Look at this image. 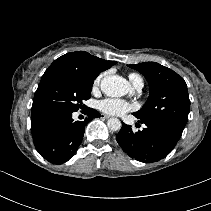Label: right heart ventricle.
I'll use <instances>...</instances> for the list:
<instances>
[{"mask_svg": "<svg viewBox=\"0 0 211 211\" xmlns=\"http://www.w3.org/2000/svg\"><path fill=\"white\" fill-rule=\"evenodd\" d=\"M129 79L134 85H137L138 83H143L142 78L138 74H135V73L130 74Z\"/></svg>", "mask_w": 211, "mask_h": 211, "instance_id": "1", "label": "right heart ventricle"}]
</instances>
